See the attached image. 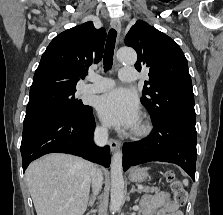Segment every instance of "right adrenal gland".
I'll return each instance as SVG.
<instances>
[{"label":"right adrenal gland","instance_id":"2a0ac1e0","mask_svg":"<svg viewBox=\"0 0 223 215\" xmlns=\"http://www.w3.org/2000/svg\"><path fill=\"white\" fill-rule=\"evenodd\" d=\"M96 197H95V193H93V195H91L90 199H89V207H92L94 201H95Z\"/></svg>","mask_w":223,"mask_h":215}]
</instances>
